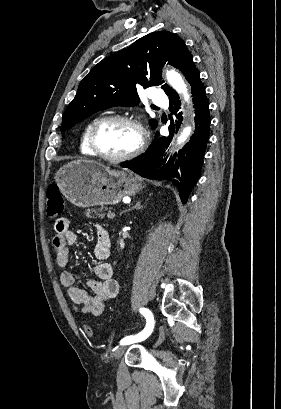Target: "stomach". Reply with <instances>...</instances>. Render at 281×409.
<instances>
[{
    "mask_svg": "<svg viewBox=\"0 0 281 409\" xmlns=\"http://www.w3.org/2000/svg\"><path fill=\"white\" fill-rule=\"evenodd\" d=\"M55 182L75 207L117 205L125 194L144 188L129 170H110L97 160H71L55 172Z\"/></svg>",
    "mask_w": 281,
    "mask_h": 409,
    "instance_id": "1",
    "label": "stomach"
}]
</instances>
